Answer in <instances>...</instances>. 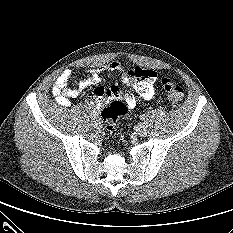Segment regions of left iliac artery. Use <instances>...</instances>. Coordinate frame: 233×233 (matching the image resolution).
Instances as JSON below:
<instances>
[{
	"label": "left iliac artery",
	"mask_w": 233,
	"mask_h": 233,
	"mask_svg": "<svg viewBox=\"0 0 233 233\" xmlns=\"http://www.w3.org/2000/svg\"><path fill=\"white\" fill-rule=\"evenodd\" d=\"M140 118H141V120H145L146 117H145V115H141Z\"/></svg>",
	"instance_id": "1"
}]
</instances>
